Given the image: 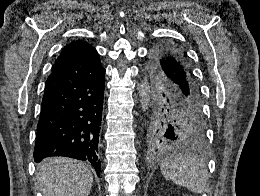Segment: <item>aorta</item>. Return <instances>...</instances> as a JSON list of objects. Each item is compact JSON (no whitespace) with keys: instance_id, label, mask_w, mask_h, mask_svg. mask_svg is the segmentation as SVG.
I'll return each instance as SVG.
<instances>
[{"instance_id":"762f6f07","label":"aorta","mask_w":260,"mask_h":196,"mask_svg":"<svg viewBox=\"0 0 260 196\" xmlns=\"http://www.w3.org/2000/svg\"><path fill=\"white\" fill-rule=\"evenodd\" d=\"M140 103L141 107L144 111L147 110L148 106V92H149V85L147 82V78H144L143 81L140 84Z\"/></svg>"}]
</instances>
